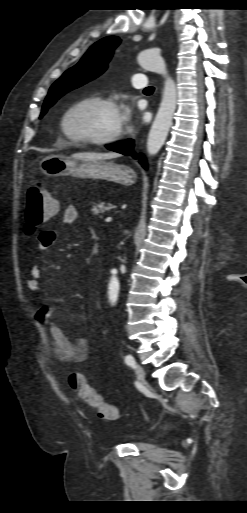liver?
<instances>
[{"label":"liver","instance_id":"1","mask_svg":"<svg viewBox=\"0 0 247 513\" xmlns=\"http://www.w3.org/2000/svg\"><path fill=\"white\" fill-rule=\"evenodd\" d=\"M75 158L84 159V160H104V159H112L117 158L119 156L118 153L110 152V153H98V152H80L73 155Z\"/></svg>","mask_w":247,"mask_h":513}]
</instances>
